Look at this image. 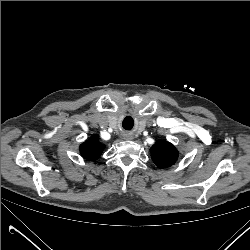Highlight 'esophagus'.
<instances>
[{
    "label": "esophagus",
    "instance_id": "1",
    "mask_svg": "<svg viewBox=\"0 0 250 250\" xmlns=\"http://www.w3.org/2000/svg\"><path fill=\"white\" fill-rule=\"evenodd\" d=\"M126 140H131L132 139V136H130V135H125V137H124Z\"/></svg>",
    "mask_w": 250,
    "mask_h": 250
}]
</instances>
